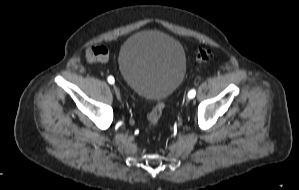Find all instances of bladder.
I'll use <instances>...</instances> for the list:
<instances>
[{
  "instance_id": "31cf9c89",
  "label": "bladder",
  "mask_w": 299,
  "mask_h": 190,
  "mask_svg": "<svg viewBox=\"0 0 299 190\" xmlns=\"http://www.w3.org/2000/svg\"><path fill=\"white\" fill-rule=\"evenodd\" d=\"M125 83L137 95L163 100L182 83L186 73L183 47L173 37L156 31H139L123 44L118 58Z\"/></svg>"
}]
</instances>
